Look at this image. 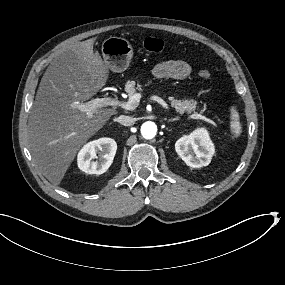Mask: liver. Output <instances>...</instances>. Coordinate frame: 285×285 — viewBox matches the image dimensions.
<instances>
[{"label":"liver","instance_id":"obj_1","mask_svg":"<svg viewBox=\"0 0 285 285\" xmlns=\"http://www.w3.org/2000/svg\"><path fill=\"white\" fill-rule=\"evenodd\" d=\"M94 42H76L57 54L41 79L28 119L32 160L55 186L81 146L117 113L114 108H98L88 117L77 108L108 79V66L94 53Z\"/></svg>","mask_w":285,"mask_h":285}]
</instances>
